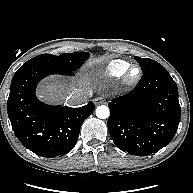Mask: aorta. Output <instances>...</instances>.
<instances>
[{
    "instance_id": "762f6f07",
    "label": "aorta",
    "mask_w": 193,
    "mask_h": 193,
    "mask_svg": "<svg viewBox=\"0 0 193 193\" xmlns=\"http://www.w3.org/2000/svg\"><path fill=\"white\" fill-rule=\"evenodd\" d=\"M110 115V110L107 106H98L96 109V116L100 119H106Z\"/></svg>"
}]
</instances>
